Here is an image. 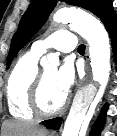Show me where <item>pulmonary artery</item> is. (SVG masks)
<instances>
[{
    "instance_id": "obj_1",
    "label": "pulmonary artery",
    "mask_w": 117,
    "mask_h": 136,
    "mask_svg": "<svg viewBox=\"0 0 117 136\" xmlns=\"http://www.w3.org/2000/svg\"><path fill=\"white\" fill-rule=\"evenodd\" d=\"M76 47L77 39L75 34L68 29H60L44 39L35 41L31 50L41 55L52 49L70 52Z\"/></svg>"
}]
</instances>
